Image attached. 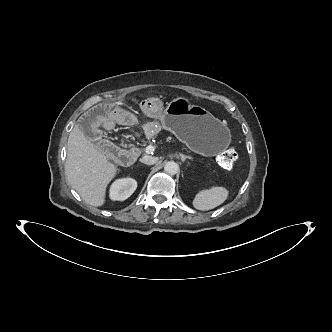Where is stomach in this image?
Segmentation results:
<instances>
[{
    "instance_id": "0dacf381",
    "label": "stomach",
    "mask_w": 332,
    "mask_h": 332,
    "mask_svg": "<svg viewBox=\"0 0 332 332\" xmlns=\"http://www.w3.org/2000/svg\"><path fill=\"white\" fill-rule=\"evenodd\" d=\"M163 127L191 150L207 156L222 152L231 142L230 130L225 124L205 108L191 105L182 97L168 104Z\"/></svg>"
}]
</instances>
